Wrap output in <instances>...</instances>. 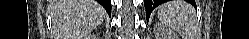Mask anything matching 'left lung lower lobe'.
I'll return each mask as SVG.
<instances>
[{"label":"left lung lower lobe","mask_w":249,"mask_h":39,"mask_svg":"<svg viewBox=\"0 0 249 39\" xmlns=\"http://www.w3.org/2000/svg\"><path fill=\"white\" fill-rule=\"evenodd\" d=\"M165 2V0H144V5H145V8H146V15H147V18H149L150 14H151V11H153V9L158 6L159 4ZM190 2L191 4H193L195 6V1L194 0H191V1H188Z\"/></svg>","instance_id":"0a47b994"}]
</instances>
